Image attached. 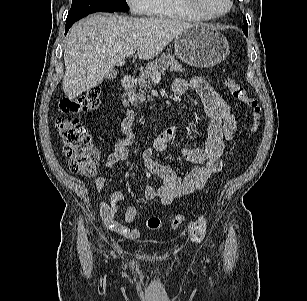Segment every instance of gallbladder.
Returning a JSON list of instances; mask_svg holds the SVG:
<instances>
[{
	"label": "gallbladder",
	"instance_id": "1",
	"mask_svg": "<svg viewBox=\"0 0 307 301\" xmlns=\"http://www.w3.org/2000/svg\"><path fill=\"white\" fill-rule=\"evenodd\" d=\"M117 76V72L115 70L111 71L109 74H108V79H114L116 78Z\"/></svg>",
	"mask_w": 307,
	"mask_h": 301
}]
</instances>
